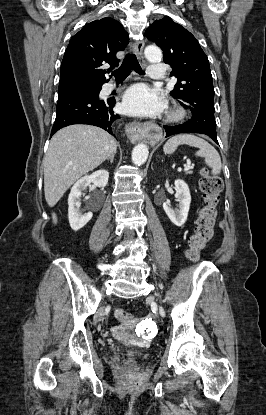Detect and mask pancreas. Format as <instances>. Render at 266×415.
Segmentation results:
<instances>
[{
	"instance_id": "pancreas-1",
	"label": "pancreas",
	"mask_w": 266,
	"mask_h": 415,
	"mask_svg": "<svg viewBox=\"0 0 266 415\" xmlns=\"http://www.w3.org/2000/svg\"><path fill=\"white\" fill-rule=\"evenodd\" d=\"M186 174H192V171H187Z\"/></svg>"
}]
</instances>
